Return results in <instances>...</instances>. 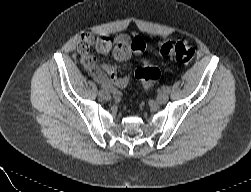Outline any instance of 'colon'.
Masks as SVG:
<instances>
[{"label":"colon","mask_w":251,"mask_h":192,"mask_svg":"<svg viewBox=\"0 0 251 192\" xmlns=\"http://www.w3.org/2000/svg\"><path fill=\"white\" fill-rule=\"evenodd\" d=\"M159 52L162 56L171 57L184 64L190 63L196 51L193 47L184 42L162 41L158 45ZM135 77L138 79L145 89H149L157 82L160 77V71L156 65L149 61H141L135 70Z\"/></svg>","instance_id":"5ec220e1"}]
</instances>
